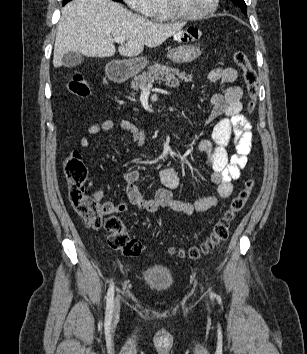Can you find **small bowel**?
I'll return each mask as SVG.
<instances>
[{
  "instance_id": "c3829d8e",
  "label": "small bowel",
  "mask_w": 307,
  "mask_h": 354,
  "mask_svg": "<svg viewBox=\"0 0 307 354\" xmlns=\"http://www.w3.org/2000/svg\"><path fill=\"white\" fill-rule=\"evenodd\" d=\"M187 33V29H178L175 35L176 38H185ZM208 78L211 82L220 81L228 85L222 93L214 94L211 98L212 110L209 121L218 119L213 127L211 140L205 139L198 144V148L205 155L206 164L211 170L210 178L216 187L215 192L206 194L194 202L178 200L172 191L179 188L180 177L173 167H166L160 172V178L165 188L159 189L153 198L145 199L137 185L140 173L137 169H131L124 173L126 194L129 202L139 209L154 213L160 208H168L181 214L193 215L197 212L207 211L231 195L232 181L240 177L241 170L246 166L251 151V125L241 113L242 89L239 86L230 85L236 81L237 71L232 67H217L210 71ZM117 127L129 132L134 142L145 145V132L131 121L123 119L117 122L107 119L90 125L87 135L80 139V146L88 148L91 145V137ZM231 141L234 144L235 153L230 157L226 148ZM92 196L100 202L104 198V191L96 189ZM104 206L108 214L124 212L127 209L125 202L114 204L108 201L104 203Z\"/></svg>"
}]
</instances>
